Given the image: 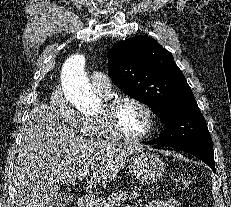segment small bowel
<instances>
[{
	"mask_svg": "<svg viewBox=\"0 0 231 207\" xmlns=\"http://www.w3.org/2000/svg\"><path fill=\"white\" fill-rule=\"evenodd\" d=\"M141 207H182L175 199H153Z\"/></svg>",
	"mask_w": 231,
	"mask_h": 207,
	"instance_id": "1",
	"label": "small bowel"
}]
</instances>
